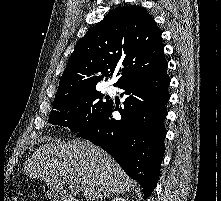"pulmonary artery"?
<instances>
[{"instance_id": "e3ab8cb5", "label": "pulmonary artery", "mask_w": 221, "mask_h": 201, "mask_svg": "<svg viewBox=\"0 0 221 201\" xmlns=\"http://www.w3.org/2000/svg\"><path fill=\"white\" fill-rule=\"evenodd\" d=\"M107 91L109 92V93H113L114 92V88L113 87H107Z\"/></svg>"}]
</instances>
